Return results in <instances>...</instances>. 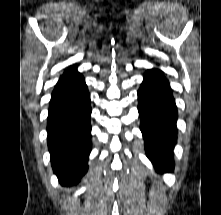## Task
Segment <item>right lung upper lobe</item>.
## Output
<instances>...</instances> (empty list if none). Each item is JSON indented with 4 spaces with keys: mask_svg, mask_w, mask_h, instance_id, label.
<instances>
[{
    "mask_svg": "<svg viewBox=\"0 0 221 215\" xmlns=\"http://www.w3.org/2000/svg\"><path fill=\"white\" fill-rule=\"evenodd\" d=\"M77 72V69L76 67H69L65 72L64 74L61 76L60 80L66 78V77H69L71 75H73L74 73Z\"/></svg>",
    "mask_w": 221,
    "mask_h": 215,
    "instance_id": "cb5924a9",
    "label": "right lung upper lobe"
}]
</instances>
